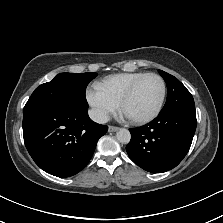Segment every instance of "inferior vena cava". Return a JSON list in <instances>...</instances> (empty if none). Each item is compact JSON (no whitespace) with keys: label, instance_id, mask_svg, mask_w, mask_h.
Listing matches in <instances>:
<instances>
[{"label":"inferior vena cava","instance_id":"obj_1","mask_svg":"<svg viewBox=\"0 0 223 223\" xmlns=\"http://www.w3.org/2000/svg\"><path fill=\"white\" fill-rule=\"evenodd\" d=\"M89 117L93 121H95L97 123H100V124H104V123H107L109 121V116L105 112H103L99 109L89 110Z\"/></svg>","mask_w":223,"mask_h":223}]
</instances>
